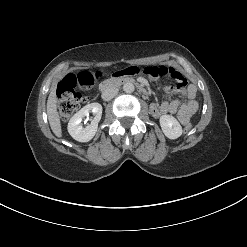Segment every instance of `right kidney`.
<instances>
[{
	"mask_svg": "<svg viewBox=\"0 0 247 247\" xmlns=\"http://www.w3.org/2000/svg\"><path fill=\"white\" fill-rule=\"evenodd\" d=\"M92 112L94 118L91 123L86 127H83L82 120L84 117L89 116V113ZM102 116V106L99 103H91L84 106L79 110L73 117L69 120L68 123V132L73 139L79 142H88L90 141L97 132L98 123Z\"/></svg>",
	"mask_w": 247,
	"mask_h": 247,
	"instance_id": "obj_1",
	"label": "right kidney"
}]
</instances>
